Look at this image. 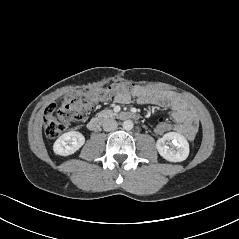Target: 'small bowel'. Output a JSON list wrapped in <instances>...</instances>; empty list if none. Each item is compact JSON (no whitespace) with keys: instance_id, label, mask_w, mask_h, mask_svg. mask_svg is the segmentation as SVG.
Instances as JSON below:
<instances>
[{"instance_id":"1","label":"small bowel","mask_w":239,"mask_h":239,"mask_svg":"<svg viewBox=\"0 0 239 239\" xmlns=\"http://www.w3.org/2000/svg\"><path fill=\"white\" fill-rule=\"evenodd\" d=\"M131 94L137 98L139 104H151L172 110L175 121L173 131L192 139L199 128V120L194 111L184 100L170 91L158 88L135 86L130 93H118L114 100L120 104L130 101Z\"/></svg>"}]
</instances>
